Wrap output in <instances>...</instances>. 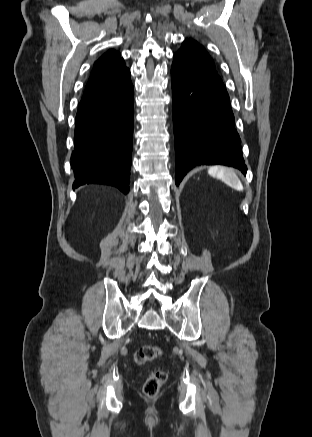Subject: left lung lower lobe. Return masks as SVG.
I'll list each match as a JSON object with an SVG mask.
<instances>
[{
    "label": "left lung lower lobe",
    "instance_id": "1",
    "mask_svg": "<svg viewBox=\"0 0 312 437\" xmlns=\"http://www.w3.org/2000/svg\"><path fill=\"white\" fill-rule=\"evenodd\" d=\"M171 78L176 185L198 165H227L246 174L230 99L217 71L177 52Z\"/></svg>",
    "mask_w": 312,
    "mask_h": 437
}]
</instances>
